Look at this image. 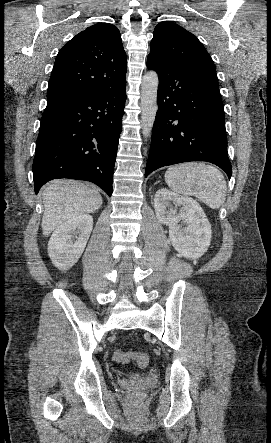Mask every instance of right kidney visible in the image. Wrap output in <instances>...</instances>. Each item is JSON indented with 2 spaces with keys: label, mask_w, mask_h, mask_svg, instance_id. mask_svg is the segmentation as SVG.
Listing matches in <instances>:
<instances>
[{
  "label": "right kidney",
  "mask_w": 271,
  "mask_h": 443,
  "mask_svg": "<svg viewBox=\"0 0 271 443\" xmlns=\"http://www.w3.org/2000/svg\"><path fill=\"white\" fill-rule=\"evenodd\" d=\"M92 229L93 218L89 214H80L58 225L48 243L49 257L54 265L59 269L72 267L82 255Z\"/></svg>",
  "instance_id": "1"
}]
</instances>
